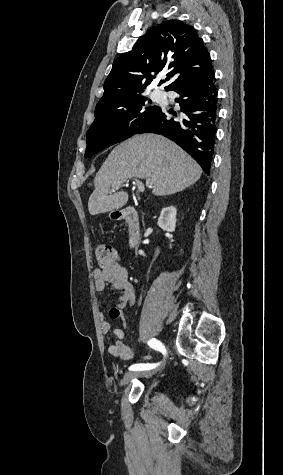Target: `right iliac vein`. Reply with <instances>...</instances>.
I'll use <instances>...</instances> for the list:
<instances>
[{
    "label": "right iliac vein",
    "mask_w": 283,
    "mask_h": 475,
    "mask_svg": "<svg viewBox=\"0 0 283 475\" xmlns=\"http://www.w3.org/2000/svg\"><path fill=\"white\" fill-rule=\"evenodd\" d=\"M157 370H151V371H143V372H135V371H130L127 372L123 379L121 380V385L127 384L129 381H131L135 377H149L153 374H155Z\"/></svg>",
    "instance_id": "obj_1"
}]
</instances>
